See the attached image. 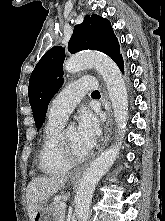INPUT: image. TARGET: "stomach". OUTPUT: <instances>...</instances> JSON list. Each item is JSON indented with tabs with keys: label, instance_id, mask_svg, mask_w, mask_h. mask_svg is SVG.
<instances>
[{
	"label": "stomach",
	"instance_id": "obj_1",
	"mask_svg": "<svg viewBox=\"0 0 165 221\" xmlns=\"http://www.w3.org/2000/svg\"><path fill=\"white\" fill-rule=\"evenodd\" d=\"M34 221H57L50 204H43L37 211Z\"/></svg>",
	"mask_w": 165,
	"mask_h": 221
}]
</instances>
